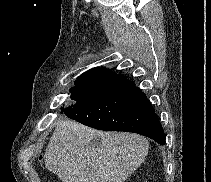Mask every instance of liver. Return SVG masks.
Segmentation results:
<instances>
[{
    "label": "liver",
    "instance_id": "obj_1",
    "mask_svg": "<svg viewBox=\"0 0 211 182\" xmlns=\"http://www.w3.org/2000/svg\"><path fill=\"white\" fill-rule=\"evenodd\" d=\"M94 137L100 144H92ZM148 154L145 137L102 132L71 120H61L49 141L46 168L62 182H124Z\"/></svg>",
    "mask_w": 211,
    "mask_h": 182
}]
</instances>
